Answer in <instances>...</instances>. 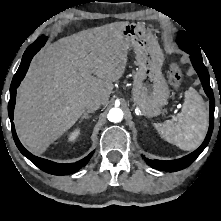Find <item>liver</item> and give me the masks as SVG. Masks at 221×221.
Segmentation results:
<instances>
[{"label":"liver","mask_w":221,"mask_h":221,"mask_svg":"<svg viewBox=\"0 0 221 221\" xmlns=\"http://www.w3.org/2000/svg\"><path fill=\"white\" fill-rule=\"evenodd\" d=\"M115 22L83 30L48 45L32 60L17 89L14 123L21 142L43 153L85 111L88 99L107 104L124 74L129 46Z\"/></svg>","instance_id":"obj_1"}]
</instances>
